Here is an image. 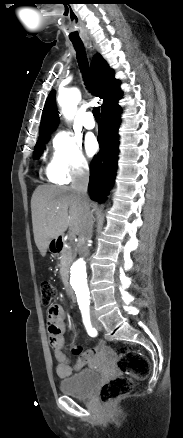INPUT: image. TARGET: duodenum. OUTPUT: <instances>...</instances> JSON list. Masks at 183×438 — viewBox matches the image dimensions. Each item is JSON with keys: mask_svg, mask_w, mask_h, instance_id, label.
I'll return each mask as SVG.
<instances>
[{"mask_svg": "<svg viewBox=\"0 0 183 438\" xmlns=\"http://www.w3.org/2000/svg\"><path fill=\"white\" fill-rule=\"evenodd\" d=\"M57 246L59 248L62 246L61 239L58 240ZM65 288H66V292H67L69 300L72 301V302H75L76 301V296H75V293H74L73 289L68 284H66Z\"/></svg>", "mask_w": 183, "mask_h": 438, "instance_id": "1", "label": "duodenum"}]
</instances>
